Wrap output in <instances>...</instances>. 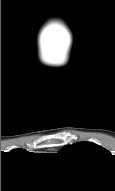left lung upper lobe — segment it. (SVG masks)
Segmentation results:
<instances>
[{
    "instance_id": "1",
    "label": "left lung upper lobe",
    "mask_w": 115,
    "mask_h": 191,
    "mask_svg": "<svg viewBox=\"0 0 115 191\" xmlns=\"http://www.w3.org/2000/svg\"><path fill=\"white\" fill-rule=\"evenodd\" d=\"M60 153L93 162L112 157V154L108 150L94 143L85 141L72 145H65Z\"/></svg>"
}]
</instances>
